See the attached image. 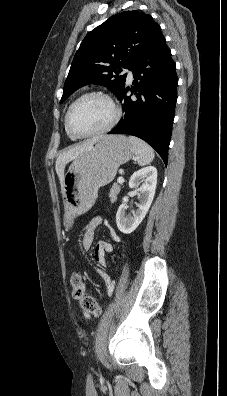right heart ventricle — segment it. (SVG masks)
Listing matches in <instances>:
<instances>
[{
    "label": "right heart ventricle",
    "instance_id": "right-heart-ventricle-1",
    "mask_svg": "<svg viewBox=\"0 0 227 396\" xmlns=\"http://www.w3.org/2000/svg\"><path fill=\"white\" fill-rule=\"evenodd\" d=\"M64 127H65V131H66L68 137H69L71 140H76L77 138H75L74 136H72V135L68 132V130H67V128H66V125H65V121H64Z\"/></svg>",
    "mask_w": 227,
    "mask_h": 396
}]
</instances>
